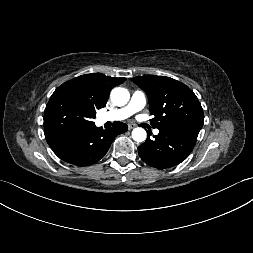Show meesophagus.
<instances>
[{
	"label": "esophagus",
	"mask_w": 253,
	"mask_h": 253,
	"mask_svg": "<svg viewBox=\"0 0 253 253\" xmlns=\"http://www.w3.org/2000/svg\"><path fill=\"white\" fill-rule=\"evenodd\" d=\"M136 127V124L134 123H129L128 124V128L131 130V129H134Z\"/></svg>",
	"instance_id": "obj_1"
}]
</instances>
